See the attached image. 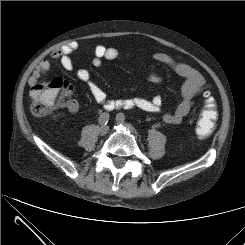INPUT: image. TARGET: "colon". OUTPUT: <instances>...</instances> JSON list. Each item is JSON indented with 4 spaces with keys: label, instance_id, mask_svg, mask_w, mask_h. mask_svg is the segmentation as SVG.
Wrapping results in <instances>:
<instances>
[{
    "label": "colon",
    "instance_id": "obj_1",
    "mask_svg": "<svg viewBox=\"0 0 245 245\" xmlns=\"http://www.w3.org/2000/svg\"><path fill=\"white\" fill-rule=\"evenodd\" d=\"M70 84L61 78L35 83L30 90L31 110L37 116L50 114L56 108H69L72 105ZM204 108L196 125L200 138H207L213 131L217 110L211 92L204 91Z\"/></svg>",
    "mask_w": 245,
    "mask_h": 245
}]
</instances>
